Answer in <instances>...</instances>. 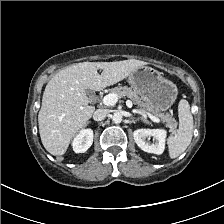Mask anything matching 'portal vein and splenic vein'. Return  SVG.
I'll list each match as a JSON object with an SVG mask.
<instances>
[{
	"instance_id": "obj_1",
	"label": "portal vein and splenic vein",
	"mask_w": 224,
	"mask_h": 224,
	"mask_svg": "<svg viewBox=\"0 0 224 224\" xmlns=\"http://www.w3.org/2000/svg\"><path fill=\"white\" fill-rule=\"evenodd\" d=\"M103 104L106 106H112L115 105L118 101V96L116 94L110 93L103 97ZM126 105L128 108H131L133 106L132 102L130 100L126 101ZM136 111H140L143 114H146L153 122L159 123L160 119L151 113L145 111L144 109H137Z\"/></svg>"
}]
</instances>
